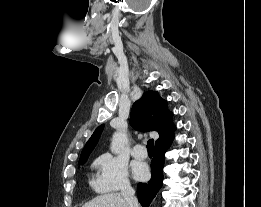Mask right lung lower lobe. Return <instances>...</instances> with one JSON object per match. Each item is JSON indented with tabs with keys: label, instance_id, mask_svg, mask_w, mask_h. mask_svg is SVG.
<instances>
[{
	"label": "right lung lower lobe",
	"instance_id": "98d812e1",
	"mask_svg": "<svg viewBox=\"0 0 261 207\" xmlns=\"http://www.w3.org/2000/svg\"><path fill=\"white\" fill-rule=\"evenodd\" d=\"M171 141L156 145L151 162V179L146 183H138L137 185V197L143 207H149V204L162 187L164 154L168 150Z\"/></svg>",
	"mask_w": 261,
	"mask_h": 207
}]
</instances>
